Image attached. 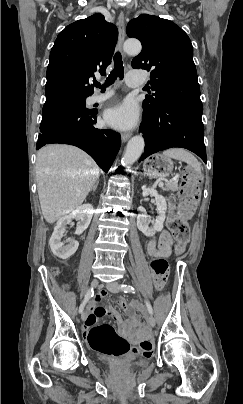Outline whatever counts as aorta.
<instances>
[{"mask_svg": "<svg viewBox=\"0 0 243 404\" xmlns=\"http://www.w3.org/2000/svg\"><path fill=\"white\" fill-rule=\"evenodd\" d=\"M123 50L128 56H137V54H140L142 46L139 40L131 38V40H126V42H124ZM144 146L145 142L142 136H134V138H131L122 158L123 164H125V166H132L134 162H137L144 150Z\"/></svg>", "mask_w": 243, "mask_h": 404, "instance_id": "1", "label": "aorta"}]
</instances>
